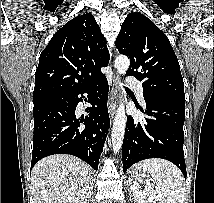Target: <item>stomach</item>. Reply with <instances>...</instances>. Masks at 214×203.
Here are the masks:
<instances>
[{"label": "stomach", "instance_id": "1", "mask_svg": "<svg viewBox=\"0 0 214 203\" xmlns=\"http://www.w3.org/2000/svg\"><path fill=\"white\" fill-rule=\"evenodd\" d=\"M128 181L131 185V188H138L141 184H145L146 188H149L153 185L149 182V175L143 172L138 166H135L130 170Z\"/></svg>", "mask_w": 214, "mask_h": 203}]
</instances>
